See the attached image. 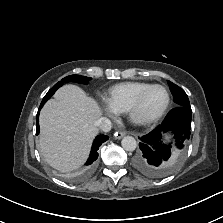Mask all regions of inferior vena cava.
Listing matches in <instances>:
<instances>
[{"label": "inferior vena cava", "mask_w": 223, "mask_h": 223, "mask_svg": "<svg viewBox=\"0 0 223 223\" xmlns=\"http://www.w3.org/2000/svg\"><path fill=\"white\" fill-rule=\"evenodd\" d=\"M94 125L97 127V129L104 131V132H109L112 128V123L111 121L106 118V117H101L99 118Z\"/></svg>", "instance_id": "obj_1"}]
</instances>
